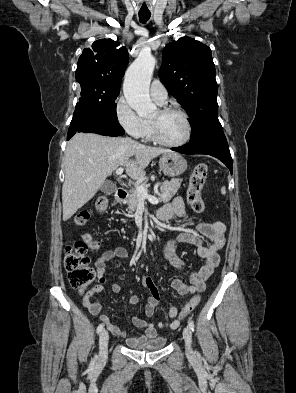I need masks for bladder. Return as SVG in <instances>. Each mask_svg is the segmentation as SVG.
Masks as SVG:
<instances>
[{
	"mask_svg": "<svg viewBox=\"0 0 296 393\" xmlns=\"http://www.w3.org/2000/svg\"><path fill=\"white\" fill-rule=\"evenodd\" d=\"M167 339L163 336L148 340L145 343L133 346L138 351H158L165 347Z\"/></svg>",
	"mask_w": 296,
	"mask_h": 393,
	"instance_id": "31cf9c89",
	"label": "bladder"
}]
</instances>
